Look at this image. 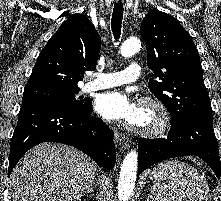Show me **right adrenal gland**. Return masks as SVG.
Returning <instances> with one entry per match:
<instances>
[{
  "instance_id": "right-adrenal-gland-1",
  "label": "right adrenal gland",
  "mask_w": 221,
  "mask_h": 201,
  "mask_svg": "<svg viewBox=\"0 0 221 201\" xmlns=\"http://www.w3.org/2000/svg\"><path fill=\"white\" fill-rule=\"evenodd\" d=\"M94 188H95V183L92 184V186L89 188V190L86 192V194H84L82 197L84 198L85 196H87L88 193H93ZM79 201H81V200H79Z\"/></svg>"
}]
</instances>
